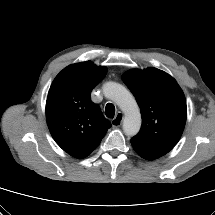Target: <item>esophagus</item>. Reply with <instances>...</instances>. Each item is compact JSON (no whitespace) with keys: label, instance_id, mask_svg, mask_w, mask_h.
Listing matches in <instances>:
<instances>
[{"label":"esophagus","instance_id":"esophagus-1","mask_svg":"<svg viewBox=\"0 0 215 215\" xmlns=\"http://www.w3.org/2000/svg\"><path fill=\"white\" fill-rule=\"evenodd\" d=\"M123 118H124L123 114L121 112H118L115 118L111 120L112 126L119 127L122 124Z\"/></svg>","mask_w":215,"mask_h":215}]
</instances>
